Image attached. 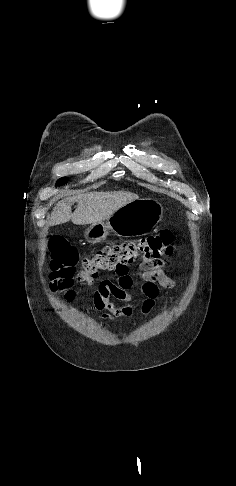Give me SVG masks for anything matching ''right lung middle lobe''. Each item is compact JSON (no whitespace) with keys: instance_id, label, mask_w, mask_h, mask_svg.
<instances>
[{"instance_id":"obj_1","label":"right lung middle lobe","mask_w":236,"mask_h":486,"mask_svg":"<svg viewBox=\"0 0 236 486\" xmlns=\"http://www.w3.org/2000/svg\"><path fill=\"white\" fill-rule=\"evenodd\" d=\"M67 182V178H61L57 181V185H61L63 183H66Z\"/></svg>"}]
</instances>
